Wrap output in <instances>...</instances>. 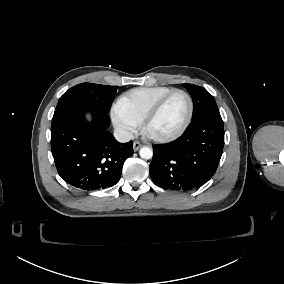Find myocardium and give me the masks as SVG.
I'll list each match as a JSON object with an SVG mask.
<instances>
[{"label": "myocardium", "instance_id": "myocardium-1", "mask_svg": "<svg viewBox=\"0 0 284 284\" xmlns=\"http://www.w3.org/2000/svg\"><path fill=\"white\" fill-rule=\"evenodd\" d=\"M182 93L185 95V97L188 100L189 103V112L187 115V118L185 120V122L183 123V125L180 127V129L178 131H176L174 134L166 136V137H155L152 136L148 133L147 131V127L149 122L162 110L163 106L165 105V103L167 102V100L174 95L175 93ZM194 115V101L191 97V95L184 89H173L172 91L168 92L167 94H165L164 96H162L153 106H151L146 114L140 119V125L142 128V133L144 134V136L149 139L152 140L154 142L157 143H168V142H172L176 139H178L180 136H182L184 134V132L187 130V128L189 127L192 118Z\"/></svg>", "mask_w": 284, "mask_h": 284}]
</instances>
